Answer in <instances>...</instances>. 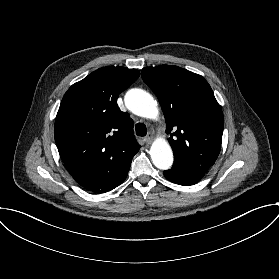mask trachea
I'll list each match as a JSON object with an SVG mask.
<instances>
[{
    "instance_id": "trachea-1",
    "label": "trachea",
    "mask_w": 279,
    "mask_h": 279,
    "mask_svg": "<svg viewBox=\"0 0 279 279\" xmlns=\"http://www.w3.org/2000/svg\"><path fill=\"white\" fill-rule=\"evenodd\" d=\"M135 129L138 136H145L147 134V128L142 123H138Z\"/></svg>"
}]
</instances>
